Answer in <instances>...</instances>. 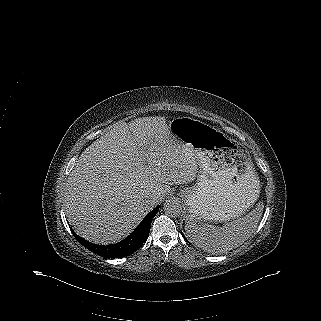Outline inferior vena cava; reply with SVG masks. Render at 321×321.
Listing matches in <instances>:
<instances>
[{
  "label": "inferior vena cava",
  "instance_id": "obj_1",
  "mask_svg": "<svg viewBox=\"0 0 321 321\" xmlns=\"http://www.w3.org/2000/svg\"><path fill=\"white\" fill-rule=\"evenodd\" d=\"M155 198L151 197L148 199V203L154 205L155 203Z\"/></svg>",
  "mask_w": 321,
  "mask_h": 321
}]
</instances>
